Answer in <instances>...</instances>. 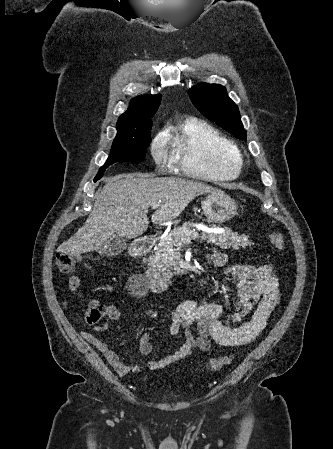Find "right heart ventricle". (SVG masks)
<instances>
[{"mask_svg":"<svg viewBox=\"0 0 333 449\" xmlns=\"http://www.w3.org/2000/svg\"><path fill=\"white\" fill-rule=\"evenodd\" d=\"M172 167L201 180L236 178L243 160L235 144L216 127L198 120L178 124L167 136Z\"/></svg>","mask_w":333,"mask_h":449,"instance_id":"obj_1","label":"right heart ventricle"}]
</instances>
